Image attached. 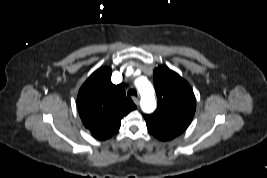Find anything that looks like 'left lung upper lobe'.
Segmentation results:
<instances>
[{
    "label": "left lung upper lobe",
    "mask_w": 267,
    "mask_h": 178,
    "mask_svg": "<svg viewBox=\"0 0 267 178\" xmlns=\"http://www.w3.org/2000/svg\"><path fill=\"white\" fill-rule=\"evenodd\" d=\"M153 76L158 107L144 118L153 136L170 141L191 123L196 109L195 95L189 84L167 66L156 68Z\"/></svg>",
    "instance_id": "5c2ea615"
}]
</instances>
